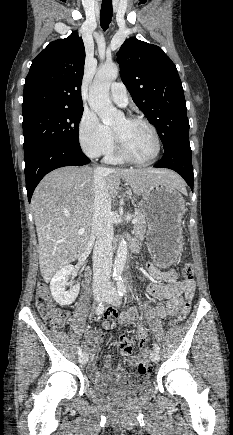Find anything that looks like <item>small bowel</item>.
I'll return each mask as SVG.
<instances>
[{"label": "small bowel", "mask_w": 233, "mask_h": 435, "mask_svg": "<svg viewBox=\"0 0 233 435\" xmlns=\"http://www.w3.org/2000/svg\"><path fill=\"white\" fill-rule=\"evenodd\" d=\"M137 248V247H136ZM145 272L149 278V283L147 285L148 292L152 297L159 300V305L156 307L155 312L158 317H174L178 312V308L181 305L182 291L187 290L190 300L193 298L194 285H184L180 284L178 279V272L170 269L166 271H161L155 267L152 263H145ZM161 281L162 283H158ZM106 317H111L117 319L118 323L121 325H130L133 321L139 317V312L137 310H131L127 313L119 314L115 311H108L105 313ZM111 326L110 322L105 320L103 322V328L105 330L109 329ZM139 346L143 348V353L145 357L148 356V352L145 349L147 343V329L143 326H138L136 328ZM105 335L102 332L89 331L87 333V340L84 343L85 348L89 351L90 359L88 364L89 375L96 383H103L107 380H131L135 377L133 374L126 376L124 366L119 363L116 369L112 368L111 355H107L103 362V372L97 369L96 361L98 357V347L104 341ZM119 344L121 352L127 361V363L132 367H137L139 358L132 354V347L124 334L119 336ZM150 370L143 373H138V376L144 379L146 374L149 375Z\"/></svg>", "instance_id": "small-bowel-1"}]
</instances>
